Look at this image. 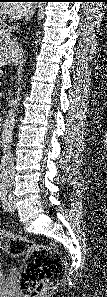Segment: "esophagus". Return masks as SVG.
Returning <instances> with one entry per match:
<instances>
[{"mask_svg": "<svg viewBox=\"0 0 107 297\" xmlns=\"http://www.w3.org/2000/svg\"><path fill=\"white\" fill-rule=\"evenodd\" d=\"M35 10H36V5L33 4V5L31 6V9L29 10V12H28L26 18H25V22H26V23H28V22L31 20V18L33 17V15H34V13H35Z\"/></svg>", "mask_w": 107, "mask_h": 297, "instance_id": "34e87169", "label": "esophagus"}]
</instances>
